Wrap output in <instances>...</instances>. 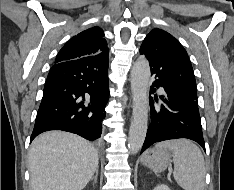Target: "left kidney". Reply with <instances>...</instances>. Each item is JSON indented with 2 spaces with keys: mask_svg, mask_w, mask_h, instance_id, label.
I'll use <instances>...</instances> for the list:
<instances>
[{
  "mask_svg": "<svg viewBox=\"0 0 234 190\" xmlns=\"http://www.w3.org/2000/svg\"><path fill=\"white\" fill-rule=\"evenodd\" d=\"M153 190H171L167 185H158Z\"/></svg>",
  "mask_w": 234,
  "mask_h": 190,
  "instance_id": "5707ae66",
  "label": "left kidney"
}]
</instances>
